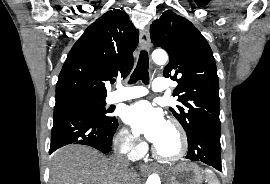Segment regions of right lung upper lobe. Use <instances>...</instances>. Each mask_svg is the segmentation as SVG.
<instances>
[{
  "label": "right lung upper lobe",
  "instance_id": "cb5924a9",
  "mask_svg": "<svg viewBox=\"0 0 270 184\" xmlns=\"http://www.w3.org/2000/svg\"><path fill=\"white\" fill-rule=\"evenodd\" d=\"M138 40L139 33L125 11L113 9L103 14L69 52L56 84V98L106 97L104 82L130 73Z\"/></svg>",
  "mask_w": 270,
  "mask_h": 184
}]
</instances>
